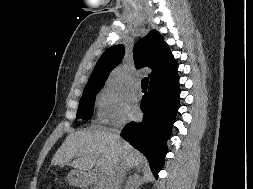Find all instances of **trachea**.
I'll return each mask as SVG.
<instances>
[{
  "instance_id": "3493384b",
  "label": "trachea",
  "mask_w": 253,
  "mask_h": 189,
  "mask_svg": "<svg viewBox=\"0 0 253 189\" xmlns=\"http://www.w3.org/2000/svg\"><path fill=\"white\" fill-rule=\"evenodd\" d=\"M149 83V78L145 77L142 79V88H147Z\"/></svg>"
}]
</instances>
